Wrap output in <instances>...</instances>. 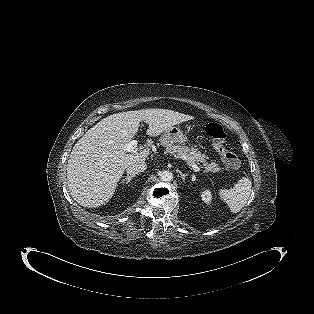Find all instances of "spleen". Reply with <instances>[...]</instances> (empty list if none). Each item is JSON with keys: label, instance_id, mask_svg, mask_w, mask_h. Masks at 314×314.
I'll return each mask as SVG.
<instances>
[{"label": "spleen", "instance_id": "spleen-1", "mask_svg": "<svg viewBox=\"0 0 314 314\" xmlns=\"http://www.w3.org/2000/svg\"><path fill=\"white\" fill-rule=\"evenodd\" d=\"M252 183L248 177H242L230 189H220L219 196L232 213H238L247 203L251 194Z\"/></svg>", "mask_w": 314, "mask_h": 314}]
</instances>
